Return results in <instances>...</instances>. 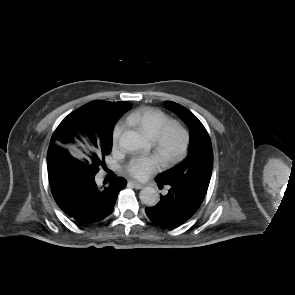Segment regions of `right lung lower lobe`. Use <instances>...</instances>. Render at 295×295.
<instances>
[{"label": "right lung lower lobe", "mask_w": 295, "mask_h": 295, "mask_svg": "<svg viewBox=\"0 0 295 295\" xmlns=\"http://www.w3.org/2000/svg\"><path fill=\"white\" fill-rule=\"evenodd\" d=\"M47 164L55 201L78 225H94L110 215L118 193L126 186V180L115 175L97 184L98 170L85 169L56 149L47 156Z\"/></svg>", "instance_id": "98d812e1"}]
</instances>
